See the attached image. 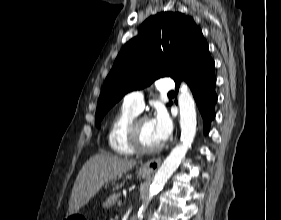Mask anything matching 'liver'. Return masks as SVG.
<instances>
[{
	"mask_svg": "<svg viewBox=\"0 0 281 220\" xmlns=\"http://www.w3.org/2000/svg\"><path fill=\"white\" fill-rule=\"evenodd\" d=\"M135 160L121 159L108 153L96 154L83 165L74 183L67 216L79 211L112 179L136 165Z\"/></svg>",
	"mask_w": 281,
	"mask_h": 220,
	"instance_id": "6515ba94",
	"label": "liver"
}]
</instances>
